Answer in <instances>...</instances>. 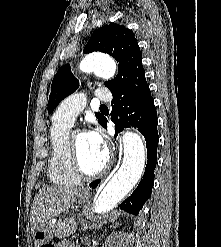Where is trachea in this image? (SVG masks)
<instances>
[{"mask_svg":"<svg viewBox=\"0 0 221 247\" xmlns=\"http://www.w3.org/2000/svg\"><path fill=\"white\" fill-rule=\"evenodd\" d=\"M100 109H107V106L103 104L100 106Z\"/></svg>","mask_w":221,"mask_h":247,"instance_id":"3493384b","label":"trachea"}]
</instances>
